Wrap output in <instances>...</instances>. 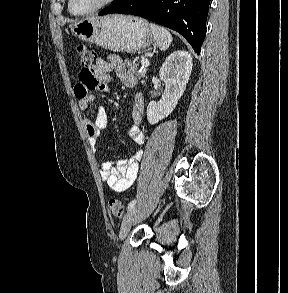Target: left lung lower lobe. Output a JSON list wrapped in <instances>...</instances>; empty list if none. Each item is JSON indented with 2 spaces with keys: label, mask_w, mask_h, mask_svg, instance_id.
I'll list each match as a JSON object with an SVG mask.
<instances>
[{
  "label": "left lung lower lobe",
  "mask_w": 288,
  "mask_h": 293,
  "mask_svg": "<svg viewBox=\"0 0 288 293\" xmlns=\"http://www.w3.org/2000/svg\"><path fill=\"white\" fill-rule=\"evenodd\" d=\"M210 0H115L99 15L131 14L179 32L199 55L206 35Z\"/></svg>",
  "instance_id": "left-lung-lower-lobe-1"
}]
</instances>
